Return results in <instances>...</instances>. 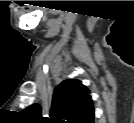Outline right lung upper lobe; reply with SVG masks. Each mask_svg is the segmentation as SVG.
Segmentation results:
<instances>
[{"label":"right lung upper lobe","mask_w":134,"mask_h":123,"mask_svg":"<svg viewBox=\"0 0 134 123\" xmlns=\"http://www.w3.org/2000/svg\"><path fill=\"white\" fill-rule=\"evenodd\" d=\"M24 112L32 119L44 120L38 104H32ZM50 117L49 121L54 123H93L94 108L89 89L77 79L60 83L54 90Z\"/></svg>","instance_id":"obj_1"}]
</instances>
